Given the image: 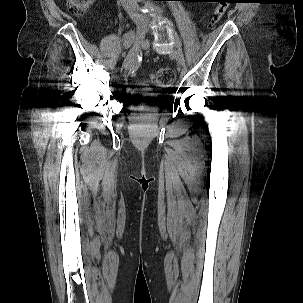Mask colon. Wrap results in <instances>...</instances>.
<instances>
[{"label":"colon","instance_id":"obj_1","mask_svg":"<svg viewBox=\"0 0 303 303\" xmlns=\"http://www.w3.org/2000/svg\"><path fill=\"white\" fill-rule=\"evenodd\" d=\"M93 2L94 0H67L69 10L77 14L87 11ZM227 6L225 1H220L213 11L211 24H216L221 20L226 12ZM174 79V73L171 69L161 68L149 75L148 82L156 87L166 88L174 83Z\"/></svg>","mask_w":303,"mask_h":303}]
</instances>
